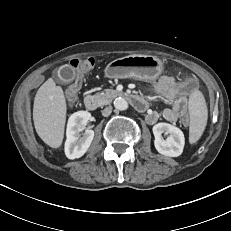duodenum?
Wrapping results in <instances>:
<instances>
[{"label": "duodenum", "instance_id": "obj_1", "mask_svg": "<svg viewBox=\"0 0 231 231\" xmlns=\"http://www.w3.org/2000/svg\"><path fill=\"white\" fill-rule=\"evenodd\" d=\"M112 94L116 97H123L127 99L137 111L143 112L147 108L146 100L136 94L117 90L113 91ZM84 106L86 110L94 111L98 107V101L93 95H87L84 98Z\"/></svg>", "mask_w": 231, "mask_h": 231}]
</instances>
